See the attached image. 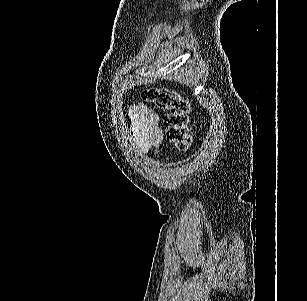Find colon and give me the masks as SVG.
<instances>
[{
    "label": "colon",
    "instance_id": "obj_1",
    "mask_svg": "<svg viewBox=\"0 0 307 301\" xmlns=\"http://www.w3.org/2000/svg\"><path fill=\"white\" fill-rule=\"evenodd\" d=\"M141 96L144 101L166 111L164 125L167 140L179 151H188L193 142L188 126L189 102L174 91L155 87L143 90Z\"/></svg>",
    "mask_w": 307,
    "mask_h": 301
}]
</instances>
